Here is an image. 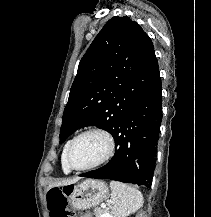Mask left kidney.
I'll list each match as a JSON object with an SVG mask.
<instances>
[{
	"label": "left kidney",
	"mask_w": 211,
	"mask_h": 217,
	"mask_svg": "<svg viewBox=\"0 0 211 217\" xmlns=\"http://www.w3.org/2000/svg\"><path fill=\"white\" fill-rule=\"evenodd\" d=\"M101 217H114V216H112L111 214H109V213H104V214H102V216Z\"/></svg>",
	"instance_id": "obj_1"
}]
</instances>
